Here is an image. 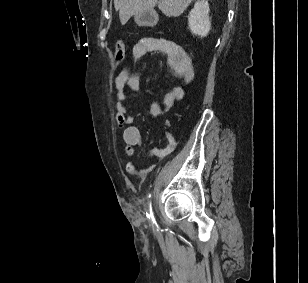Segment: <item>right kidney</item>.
Returning <instances> with one entry per match:
<instances>
[{
	"label": "right kidney",
	"instance_id": "right-kidney-1",
	"mask_svg": "<svg viewBox=\"0 0 308 283\" xmlns=\"http://www.w3.org/2000/svg\"><path fill=\"white\" fill-rule=\"evenodd\" d=\"M209 4L207 0H197L188 16V25L194 35L206 37L210 31Z\"/></svg>",
	"mask_w": 308,
	"mask_h": 283
}]
</instances>
